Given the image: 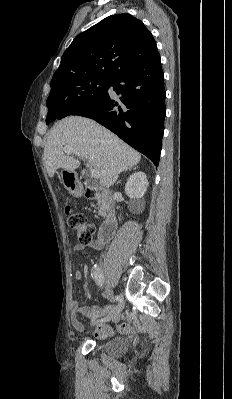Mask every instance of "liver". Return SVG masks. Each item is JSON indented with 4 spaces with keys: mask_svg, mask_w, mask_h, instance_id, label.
I'll list each match as a JSON object with an SVG mask.
<instances>
[{
    "mask_svg": "<svg viewBox=\"0 0 232 399\" xmlns=\"http://www.w3.org/2000/svg\"><path fill=\"white\" fill-rule=\"evenodd\" d=\"M64 146L78 150L84 160L99 172L102 188L113 186L120 172L137 166L141 160L138 152L94 120L69 116L51 128L44 148L45 168L50 178L58 168L74 172L80 166L73 154L65 156Z\"/></svg>",
    "mask_w": 232,
    "mask_h": 399,
    "instance_id": "1",
    "label": "liver"
}]
</instances>
